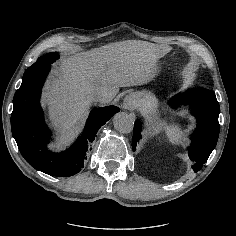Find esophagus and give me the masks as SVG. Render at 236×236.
I'll use <instances>...</instances> for the list:
<instances>
[{"label":"esophagus","mask_w":236,"mask_h":236,"mask_svg":"<svg viewBox=\"0 0 236 236\" xmlns=\"http://www.w3.org/2000/svg\"><path fill=\"white\" fill-rule=\"evenodd\" d=\"M123 108L129 111H134L137 108L136 96L131 93L127 95L123 100Z\"/></svg>","instance_id":"34e87169"}]
</instances>
